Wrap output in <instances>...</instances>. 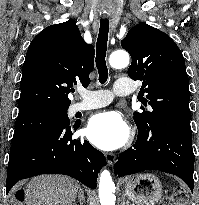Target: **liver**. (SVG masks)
Listing matches in <instances>:
<instances>
[{
  "label": "liver",
  "mask_w": 199,
  "mask_h": 205,
  "mask_svg": "<svg viewBox=\"0 0 199 205\" xmlns=\"http://www.w3.org/2000/svg\"><path fill=\"white\" fill-rule=\"evenodd\" d=\"M79 185L67 176L34 177L25 190L26 205H73Z\"/></svg>",
  "instance_id": "liver-1"
}]
</instances>
